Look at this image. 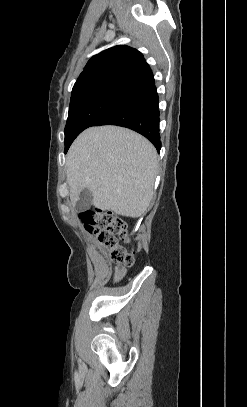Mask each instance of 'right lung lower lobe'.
Wrapping results in <instances>:
<instances>
[{
    "instance_id": "1",
    "label": "right lung lower lobe",
    "mask_w": 247,
    "mask_h": 407,
    "mask_svg": "<svg viewBox=\"0 0 247 407\" xmlns=\"http://www.w3.org/2000/svg\"><path fill=\"white\" fill-rule=\"evenodd\" d=\"M158 94L154 83L144 87L99 118L92 126L117 125L145 136L159 152Z\"/></svg>"
}]
</instances>
